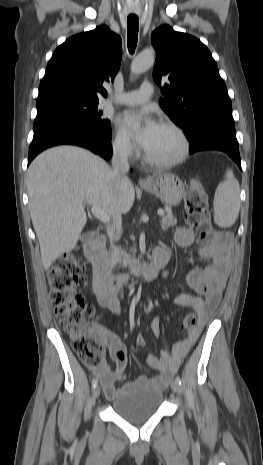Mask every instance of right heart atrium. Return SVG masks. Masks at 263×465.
Masks as SVG:
<instances>
[{"mask_svg":"<svg viewBox=\"0 0 263 465\" xmlns=\"http://www.w3.org/2000/svg\"><path fill=\"white\" fill-rule=\"evenodd\" d=\"M111 148L120 158H131L136 153L135 145L122 130L117 129L111 139Z\"/></svg>","mask_w":263,"mask_h":465,"instance_id":"obj_1","label":"right heart atrium"}]
</instances>
